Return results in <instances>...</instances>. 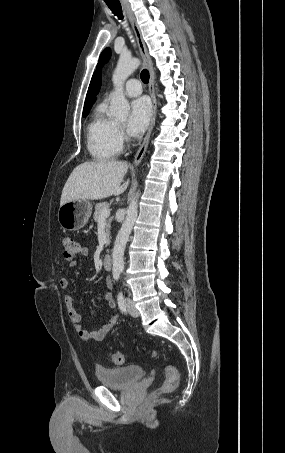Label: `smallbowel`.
Masks as SVG:
<instances>
[{
  "instance_id": "small-bowel-1",
  "label": "small bowel",
  "mask_w": 285,
  "mask_h": 453,
  "mask_svg": "<svg viewBox=\"0 0 285 453\" xmlns=\"http://www.w3.org/2000/svg\"><path fill=\"white\" fill-rule=\"evenodd\" d=\"M79 254H81L83 256H87L89 254L88 248L81 247ZM76 265H77V263L75 261H71L69 263V268H75ZM59 286L61 289L67 290L70 287V280L66 277L61 278L59 280ZM106 286L109 290L112 288V281L109 277L106 279ZM104 297L108 301L109 308L114 309L116 307V304H115V301L112 299L111 293L109 291L106 292ZM64 303H65L67 314H68L71 322L74 325L75 331L77 332L79 337L85 341H89V340L96 341V342L103 341L105 339V337L107 336V334L117 324V322L119 321V318H120L118 314H114L99 329L93 330V331L88 330V329L84 328V326L82 325V315L78 312L74 299L71 296L67 295L64 298Z\"/></svg>"
}]
</instances>
